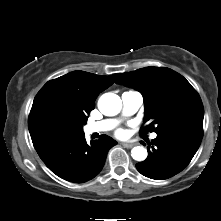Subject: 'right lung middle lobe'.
<instances>
[{
  "instance_id": "1",
  "label": "right lung middle lobe",
  "mask_w": 221,
  "mask_h": 221,
  "mask_svg": "<svg viewBox=\"0 0 221 221\" xmlns=\"http://www.w3.org/2000/svg\"><path fill=\"white\" fill-rule=\"evenodd\" d=\"M87 119L63 108H51L45 111L38 120L40 136L55 138L83 133L82 126Z\"/></svg>"
}]
</instances>
